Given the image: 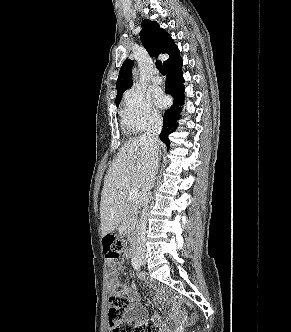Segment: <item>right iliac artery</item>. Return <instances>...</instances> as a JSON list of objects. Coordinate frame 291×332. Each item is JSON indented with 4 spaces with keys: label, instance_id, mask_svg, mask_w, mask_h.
I'll list each match as a JSON object with an SVG mask.
<instances>
[{
    "label": "right iliac artery",
    "instance_id": "right-iliac-artery-1",
    "mask_svg": "<svg viewBox=\"0 0 291 332\" xmlns=\"http://www.w3.org/2000/svg\"><path fill=\"white\" fill-rule=\"evenodd\" d=\"M132 265L136 270H140L141 265L137 258L132 259Z\"/></svg>",
    "mask_w": 291,
    "mask_h": 332
}]
</instances>
